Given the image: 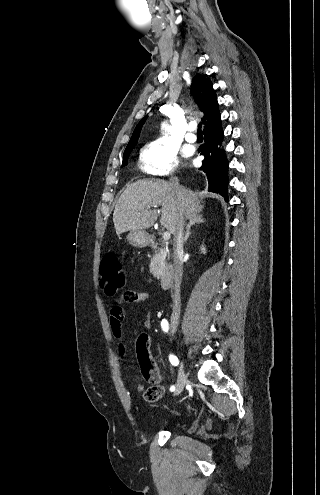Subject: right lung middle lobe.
<instances>
[{
  "instance_id": "right-lung-middle-lobe-1",
  "label": "right lung middle lobe",
  "mask_w": 320,
  "mask_h": 495,
  "mask_svg": "<svg viewBox=\"0 0 320 495\" xmlns=\"http://www.w3.org/2000/svg\"><path fill=\"white\" fill-rule=\"evenodd\" d=\"M133 148H130V149H127L124 151V155H123V163L122 165H127V161H128V156L130 154V152L132 151Z\"/></svg>"
}]
</instances>
